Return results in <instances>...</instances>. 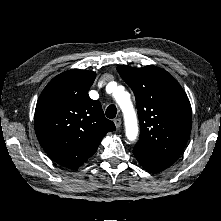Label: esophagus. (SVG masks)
Instances as JSON below:
<instances>
[{"mask_svg": "<svg viewBox=\"0 0 221 221\" xmlns=\"http://www.w3.org/2000/svg\"><path fill=\"white\" fill-rule=\"evenodd\" d=\"M121 122H122V121H121L120 118H116V119L114 120V124H115V126H116L117 129L120 128Z\"/></svg>", "mask_w": 221, "mask_h": 221, "instance_id": "1", "label": "esophagus"}]
</instances>
